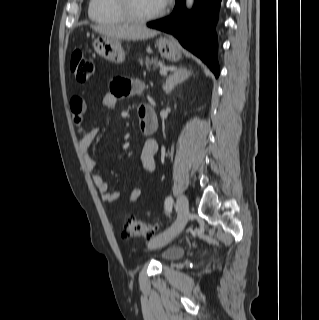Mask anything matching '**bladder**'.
Instances as JSON below:
<instances>
[{
  "label": "bladder",
  "mask_w": 319,
  "mask_h": 320,
  "mask_svg": "<svg viewBox=\"0 0 319 320\" xmlns=\"http://www.w3.org/2000/svg\"><path fill=\"white\" fill-rule=\"evenodd\" d=\"M184 253L182 247H167L159 253V257L164 262H171L179 259Z\"/></svg>",
  "instance_id": "31cf9c89"
}]
</instances>
